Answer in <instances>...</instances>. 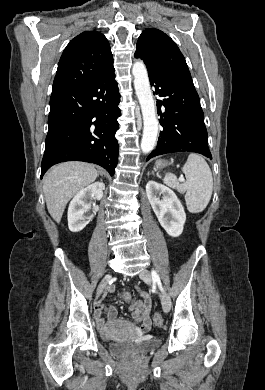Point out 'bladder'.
I'll return each mask as SVG.
<instances>
[{"label":"bladder","instance_id":"1","mask_svg":"<svg viewBox=\"0 0 265 390\" xmlns=\"http://www.w3.org/2000/svg\"><path fill=\"white\" fill-rule=\"evenodd\" d=\"M159 339L152 338L146 342L133 344L129 342L115 341L109 344L110 350L114 353L128 354L135 352H144L153 349L159 345Z\"/></svg>","mask_w":265,"mask_h":390}]
</instances>
